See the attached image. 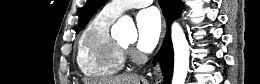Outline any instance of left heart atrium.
<instances>
[{
	"instance_id": "left-heart-atrium-1",
	"label": "left heart atrium",
	"mask_w": 260,
	"mask_h": 84,
	"mask_svg": "<svg viewBox=\"0 0 260 84\" xmlns=\"http://www.w3.org/2000/svg\"><path fill=\"white\" fill-rule=\"evenodd\" d=\"M161 18L155 8L142 10L137 16L138 42L142 52H151L158 43L161 33Z\"/></svg>"
}]
</instances>
